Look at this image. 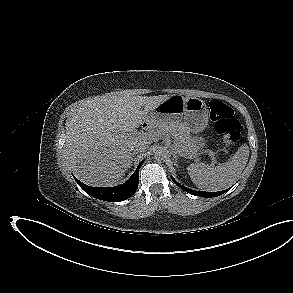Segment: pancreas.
Masks as SVG:
<instances>
[{"label": "pancreas", "instance_id": "obj_1", "mask_svg": "<svg viewBox=\"0 0 293 293\" xmlns=\"http://www.w3.org/2000/svg\"><path fill=\"white\" fill-rule=\"evenodd\" d=\"M158 134H169L174 137V144L180 154L186 158H195L198 155V149L192 141V137L184 123L170 122L159 125Z\"/></svg>", "mask_w": 293, "mask_h": 293}]
</instances>
